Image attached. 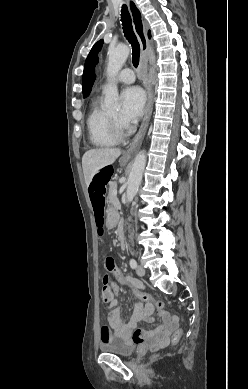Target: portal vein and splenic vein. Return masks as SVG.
Listing matches in <instances>:
<instances>
[{
    "instance_id": "18ae733b",
    "label": "portal vein and splenic vein",
    "mask_w": 248,
    "mask_h": 389,
    "mask_svg": "<svg viewBox=\"0 0 248 389\" xmlns=\"http://www.w3.org/2000/svg\"><path fill=\"white\" fill-rule=\"evenodd\" d=\"M116 194H117V191L114 192V195H116Z\"/></svg>"
}]
</instances>
